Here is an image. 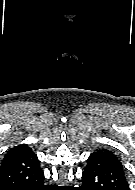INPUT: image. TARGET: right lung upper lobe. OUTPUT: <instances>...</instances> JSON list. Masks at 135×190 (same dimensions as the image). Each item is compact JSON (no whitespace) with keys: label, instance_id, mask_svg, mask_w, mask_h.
<instances>
[{"label":"right lung upper lobe","instance_id":"cb5924a9","mask_svg":"<svg viewBox=\"0 0 135 190\" xmlns=\"http://www.w3.org/2000/svg\"><path fill=\"white\" fill-rule=\"evenodd\" d=\"M30 154H34L32 149L29 148L27 145L22 144L10 149L7 152L5 157H14V156H22V155H30Z\"/></svg>","mask_w":135,"mask_h":190}]
</instances>
